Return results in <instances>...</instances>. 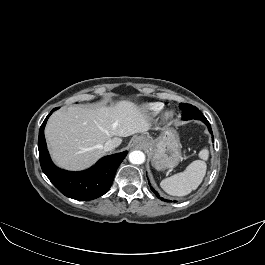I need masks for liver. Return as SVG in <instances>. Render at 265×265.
I'll return each instance as SVG.
<instances>
[{"instance_id":"liver-1","label":"liver","mask_w":265,"mask_h":265,"mask_svg":"<svg viewBox=\"0 0 265 265\" xmlns=\"http://www.w3.org/2000/svg\"><path fill=\"white\" fill-rule=\"evenodd\" d=\"M148 129L143 110L131 101L122 100L111 107L70 106L56 111L47 122L45 137L58 166L81 170L104 155L103 146L107 141L113 140L118 146L122 137Z\"/></svg>"}]
</instances>
